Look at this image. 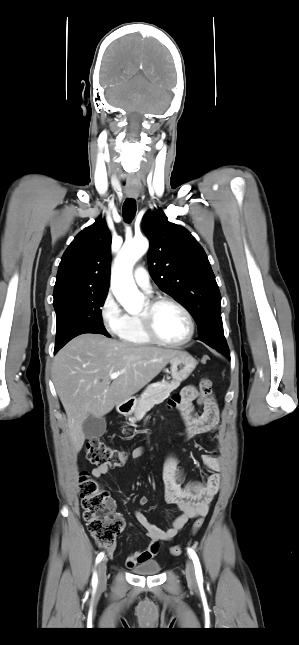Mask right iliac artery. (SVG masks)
I'll use <instances>...</instances> for the list:
<instances>
[{
	"label": "right iliac artery",
	"mask_w": 299,
	"mask_h": 645,
	"mask_svg": "<svg viewBox=\"0 0 299 645\" xmlns=\"http://www.w3.org/2000/svg\"><path fill=\"white\" fill-rule=\"evenodd\" d=\"M103 557H104V553H103V552H101L100 554H98V556H97V558H96V564H98V563L102 560V558H103ZM97 582H98V580H97V574H96V572H94V575H93V578H92V585H93L94 587H95V586H97Z\"/></svg>",
	"instance_id": "82829eb1"
}]
</instances>
